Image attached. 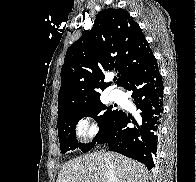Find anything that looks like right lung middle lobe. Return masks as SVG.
<instances>
[{
    "label": "right lung middle lobe",
    "instance_id": "dd1d6c3e",
    "mask_svg": "<svg viewBox=\"0 0 196 182\" xmlns=\"http://www.w3.org/2000/svg\"><path fill=\"white\" fill-rule=\"evenodd\" d=\"M107 107L96 97L84 104L67 109L58 115V136L60 149L62 153L68 150H74L79 147L83 152L89 151L96 140L104 133L111 124L119 110ZM94 118L99 125V132L90 144L78 143L75 136V127L78 121L83 117Z\"/></svg>",
    "mask_w": 196,
    "mask_h": 182
}]
</instances>
